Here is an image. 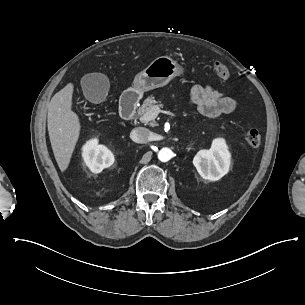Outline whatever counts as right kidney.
I'll list each match as a JSON object with an SVG mask.
<instances>
[{"instance_id": "obj_1", "label": "right kidney", "mask_w": 305, "mask_h": 305, "mask_svg": "<svg viewBox=\"0 0 305 305\" xmlns=\"http://www.w3.org/2000/svg\"><path fill=\"white\" fill-rule=\"evenodd\" d=\"M82 158L93 173H100L115 161L113 153L106 146L99 145L96 138L88 140L82 146Z\"/></svg>"}]
</instances>
